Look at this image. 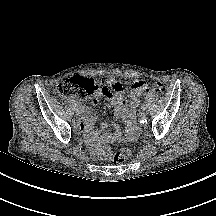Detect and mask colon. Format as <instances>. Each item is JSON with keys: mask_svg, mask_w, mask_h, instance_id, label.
Returning <instances> with one entry per match:
<instances>
[{"mask_svg": "<svg viewBox=\"0 0 216 216\" xmlns=\"http://www.w3.org/2000/svg\"><path fill=\"white\" fill-rule=\"evenodd\" d=\"M101 83L102 85H99L91 78L74 76L61 82L57 87V93L62 98L77 97L93 101L106 91L104 80H102ZM134 86L141 91L143 95L155 94L161 96L166 92V88L159 82L138 81ZM97 152L101 156L112 155L113 161L116 164L125 162L131 155L129 149L124 148L112 151L110 147L104 145L99 146Z\"/></svg>", "mask_w": 216, "mask_h": 216, "instance_id": "obj_1", "label": "colon"}]
</instances>
